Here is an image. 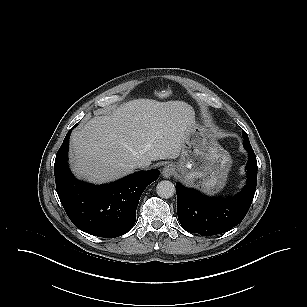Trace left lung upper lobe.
Returning <instances> with one entry per match:
<instances>
[{"label": "left lung upper lobe", "mask_w": 307, "mask_h": 307, "mask_svg": "<svg viewBox=\"0 0 307 307\" xmlns=\"http://www.w3.org/2000/svg\"><path fill=\"white\" fill-rule=\"evenodd\" d=\"M242 134H243V139H244V143H243L244 146L251 147L247 133L245 131H242Z\"/></svg>", "instance_id": "1"}]
</instances>
